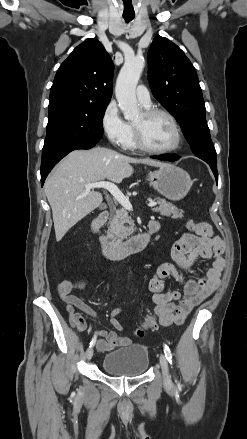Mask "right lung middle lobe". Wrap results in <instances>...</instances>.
I'll return each mask as SVG.
<instances>
[{
  "mask_svg": "<svg viewBox=\"0 0 247 439\" xmlns=\"http://www.w3.org/2000/svg\"><path fill=\"white\" fill-rule=\"evenodd\" d=\"M108 104L63 101L49 105L42 156L73 146L98 143L103 135L102 120Z\"/></svg>",
  "mask_w": 247,
  "mask_h": 439,
  "instance_id": "1",
  "label": "right lung middle lobe"
}]
</instances>
